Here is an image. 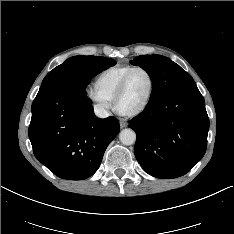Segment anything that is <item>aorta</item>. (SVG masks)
<instances>
[{"instance_id": "aorta-1", "label": "aorta", "mask_w": 234, "mask_h": 234, "mask_svg": "<svg viewBox=\"0 0 234 234\" xmlns=\"http://www.w3.org/2000/svg\"><path fill=\"white\" fill-rule=\"evenodd\" d=\"M119 140L123 145H132L136 141V133L132 129H123L119 134Z\"/></svg>"}]
</instances>
